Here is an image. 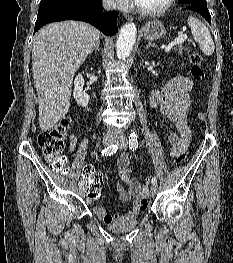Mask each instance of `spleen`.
I'll return each instance as SVG.
<instances>
[{"instance_id": "spleen-1", "label": "spleen", "mask_w": 233, "mask_h": 263, "mask_svg": "<svg viewBox=\"0 0 233 263\" xmlns=\"http://www.w3.org/2000/svg\"><path fill=\"white\" fill-rule=\"evenodd\" d=\"M187 23L191 28L193 38L200 45L203 54L210 56L213 54L215 46L208 28L197 18L190 16Z\"/></svg>"}]
</instances>
